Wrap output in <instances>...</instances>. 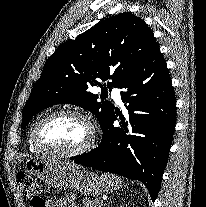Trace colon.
<instances>
[{
    "instance_id": "5ec220e1",
    "label": "colon",
    "mask_w": 206,
    "mask_h": 207,
    "mask_svg": "<svg viewBox=\"0 0 206 207\" xmlns=\"http://www.w3.org/2000/svg\"><path fill=\"white\" fill-rule=\"evenodd\" d=\"M17 181L23 193L30 198L31 207H46L44 199L36 194V181L31 175L20 171Z\"/></svg>"
}]
</instances>
